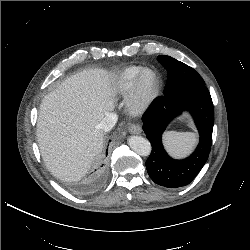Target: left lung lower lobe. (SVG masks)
<instances>
[{
  "label": "left lung lower lobe",
  "mask_w": 250,
  "mask_h": 250,
  "mask_svg": "<svg viewBox=\"0 0 250 250\" xmlns=\"http://www.w3.org/2000/svg\"><path fill=\"white\" fill-rule=\"evenodd\" d=\"M183 110L192 114L200 142L188 158L175 160L165 151L162 134L169 122ZM142 121L144 133L152 145V152L146 161L150 178L168 188L188 185L206 163L211 149L214 110L206 86H194L157 97L142 116Z\"/></svg>",
  "instance_id": "1"
}]
</instances>
